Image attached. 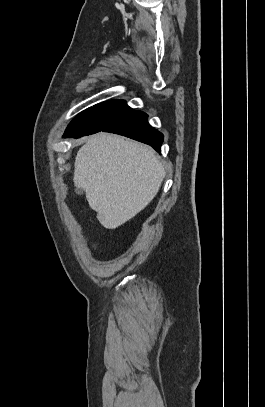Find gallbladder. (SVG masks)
I'll use <instances>...</instances> for the list:
<instances>
[{"label": "gallbladder", "instance_id": "obj_1", "mask_svg": "<svg viewBox=\"0 0 265 407\" xmlns=\"http://www.w3.org/2000/svg\"><path fill=\"white\" fill-rule=\"evenodd\" d=\"M75 192H76V194L81 195V194H83V189L82 188H76Z\"/></svg>", "mask_w": 265, "mask_h": 407}]
</instances>
